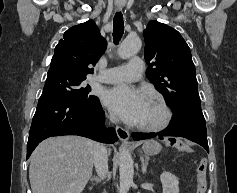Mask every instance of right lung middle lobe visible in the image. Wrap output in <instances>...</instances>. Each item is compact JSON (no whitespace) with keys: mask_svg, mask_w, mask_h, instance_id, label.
Masks as SVG:
<instances>
[{"mask_svg":"<svg viewBox=\"0 0 237 193\" xmlns=\"http://www.w3.org/2000/svg\"><path fill=\"white\" fill-rule=\"evenodd\" d=\"M84 80L61 72H48L42 95L61 96L77 104L95 102L98 98L90 94V86H85Z\"/></svg>","mask_w":237,"mask_h":193,"instance_id":"1","label":"right lung middle lobe"}]
</instances>
